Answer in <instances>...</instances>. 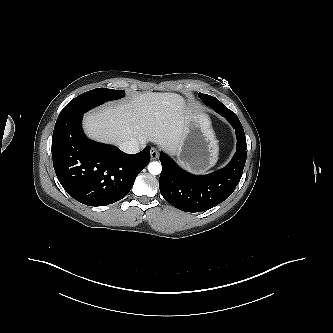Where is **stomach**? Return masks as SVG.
<instances>
[{
    "mask_svg": "<svg viewBox=\"0 0 333 333\" xmlns=\"http://www.w3.org/2000/svg\"><path fill=\"white\" fill-rule=\"evenodd\" d=\"M176 154L182 165L196 172L206 171L216 164L219 147L207 115L188 111Z\"/></svg>",
    "mask_w": 333,
    "mask_h": 333,
    "instance_id": "stomach-1",
    "label": "stomach"
}]
</instances>
